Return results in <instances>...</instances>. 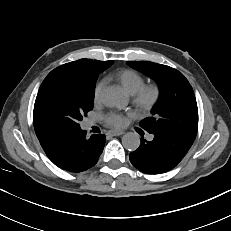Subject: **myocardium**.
<instances>
[{"label":"myocardium","instance_id":"f54148a6","mask_svg":"<svg viewBox=\"0 0 231 231\" xmlns=\"http://www.w3.org/2000/svg\"><path fill=\"white\" fill-rule=\"evenodd\" d=\"M161 95L162 89L159 84H144L132 95V102L139 111L148 112L158 103Z\"/></svg>","mask_w":231,"mask_h":231}]
</instances>
